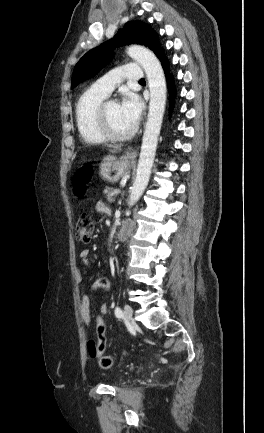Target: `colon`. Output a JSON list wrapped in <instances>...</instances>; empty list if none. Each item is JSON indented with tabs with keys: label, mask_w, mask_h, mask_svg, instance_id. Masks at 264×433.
Masks as SVG:
<instances>
[{
	"label": "colon",
	"mask_w": 264,
	"mask_h": 433,
	"mask_svg": "<svg viewBox=\"0 0 264 433\" xmlns=\"http://www.w3.org/2000/svg\"><path fill=\"white\" fill-rule=\"evenodd\" d=\"M91 178V169L90 167H84L78 170L73 177V185L74 191L77 196H83L86 191L87 183ZM93 220L90 214L83 213L77 222L76 226V237L82 243L89 242L92 233H93ZM102 308L99 311V314L96 318V337L98 343V363L99 366L103 369H109L114 365V359L105 354L107 337H106V325L103 317Z\"/></svg>",
	"instance_id": "1"
}]
</instances>
